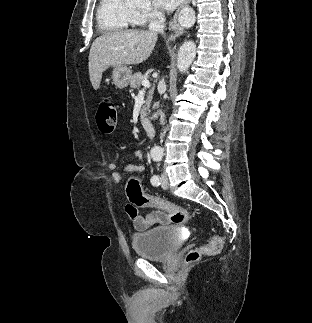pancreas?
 <instances>
[{
  "label": "pancreas",
  "instance_id": "1",
  "mask_svg": "<svg viewBox=\"0 0 312 323\" xmlns=\"http://www.w3.org/2000/svg\"><path fill=\"white\" fill-rule=\"evenodd\" d=\"M143 80H147V76H143V74H141V72H136V74H133V76H131V80L129 82L130 88H140ZM153 92H154L153 88H152V90H149V94L147 96L145 106H143V108L140 112L141 122H143V120H146V114H147V112H149V106H150L151 100L153 98Z\"/></svg>",
  "mask_w": 312,
  "mask_h": 323
}]
</instances>
